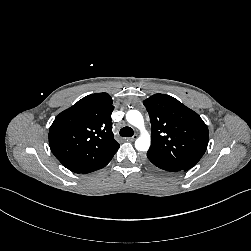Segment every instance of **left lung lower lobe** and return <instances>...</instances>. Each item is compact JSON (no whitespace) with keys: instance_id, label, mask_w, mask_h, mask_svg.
Listing matches in <instances>:
<instances>
[{"instance_id":"0a47b994","label":"left lung lower lobe","mask_w":251,"mask_h":251,"mask_svg":"<svg viewBox=\"0 0 251 251\" xmlns=\"http://www.w3.org/2000/svg\"><path fill=\"white\" fill-rule=\"evenodd\" d=\"M146 163L152 170L164 175H170L177 172L185 171L177 165L170 164L157 159L148 158Z\"/></svg>"}]
</instances>
